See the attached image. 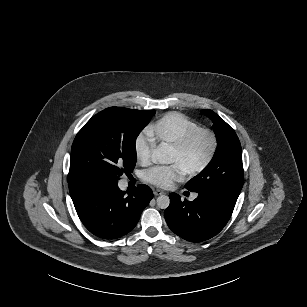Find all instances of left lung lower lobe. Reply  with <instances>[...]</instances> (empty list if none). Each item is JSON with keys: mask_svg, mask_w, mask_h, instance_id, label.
<instances>
[{"mask_svg": "<svg viewBox=\"0 0 307 307\" xmlns=\"http://www.w3.org/2000/svg\"><path fill=\"white\" fill-rule=\"evenodd\" d=\"M170 205L164 216L169 228L190 242L208 240L228 222L236 201L217 194L198 193L194 201H181L176 193L169 195Z\"/></svg>", "mask_w": 307, "mask_h": 307, "instance_id": "obj_1", "label": "left lung lower lobe"}]
</instances>
